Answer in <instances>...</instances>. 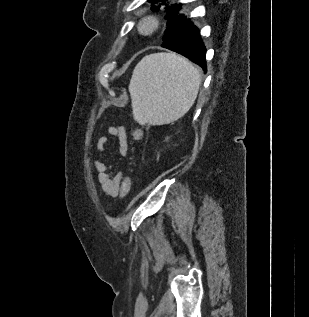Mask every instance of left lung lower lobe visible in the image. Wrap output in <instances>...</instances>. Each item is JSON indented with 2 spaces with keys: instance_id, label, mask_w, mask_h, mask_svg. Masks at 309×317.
<instances>
[{
  "instance_id": "left-lung-lower-lobe-1",
  "label": "left lung lower lobe",
  "mask_w": 309,
  "mask_h": 317,
  "mask_svg": "<svg viewBox=\"0 0 309 317\" xmlns=\"http://www.w3.org/2000/svg\"><path fill=\"white\" fill-rule=\"evenodd\" d=\"M162 47L175 51L207 70L206 47L201 39L200 31L193 22L170 40L164 42Z\"/></svg>"
}]
</instances>
